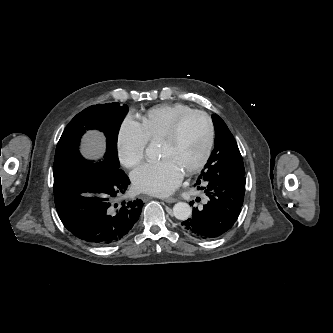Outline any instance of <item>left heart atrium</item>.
<instances>
[{
  "label": "left heart atrium",
  "instance_id": "1",
  "mask_svg": "<svg viewBox=\"0 0 333 333\" xmlns=\"http://www.w3.org/2000/svg\"><path fill=\"white\" fill-rule=\"evenodd\" d=\"M183 173L175 161L162 158L136 168L131 174V179L134 187L140 192L166 196L179 186Z\"/></svg>",
  "mask_w": 333,
  "mask_h": 333
}]
</instances>
